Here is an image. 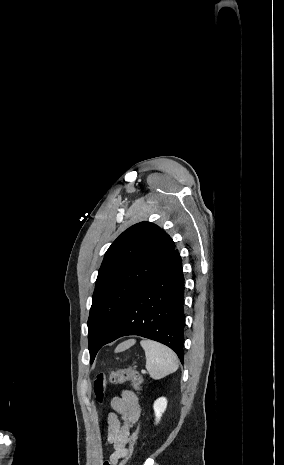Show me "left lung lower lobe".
I'll return each instance as SVG.
<instances>
[{
	"mask_svg": "<svg viewBox=\"0 0 284 465\" xmlns=\"http://www.w3.org/2000/svg\"><path fill=\"white\" fill-rule=\"evenodd\" d=\"M184 276L178 250L129 301L104 341L138 335L170 347L184 358Z\"/></svg>",
	"mask_w": 284,
	"mask_h": 465,
	"instance_id": "0a47b994",
	"label": "left lung lower lobe"
}]
</instances>
